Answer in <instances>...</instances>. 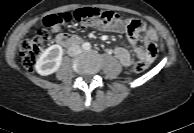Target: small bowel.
I'll list each match as a JSON object with an SVG mask.
<instances>
[{"label":"small bowel","instance_id":"small-bowel-1","mask_svg":"<svg viewBox=\"0 0 194 133\" xmlns=\"http://www.w3.org/2000/svg\"><path fill=\"white\" fill-rule=\"evenodd\" d=\"M104 29L126 34L139 58L151 53L155 56L157 53V32L143 20L137 18L122 19L120 23L104 27ZM140 35L143 36L142 40H140ZM113 53L123 66L130 67L133 65V59L125 48L115 47Z\"/></svg>","mask_w":194,"mask_h":133}]
</instances>
